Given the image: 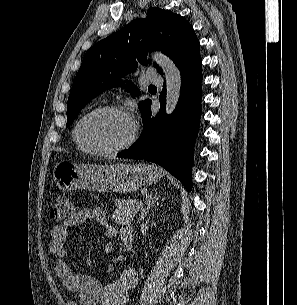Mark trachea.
<instances>
[{
  "label": "trachea",
  "mask_w": 297,
  "mask_h": 305,
  "mask_svg": "<svg viewBox=\"0 0 297 305\" xmlns=\"http://www.w3.org/2000/svg\"><path fill=\"white\" fill-rule=\"evenodd\" d=\"M150 87H155V86H153V85H150Z\"/></svg>",
  "instance_id": "1"
}]
</instances>
